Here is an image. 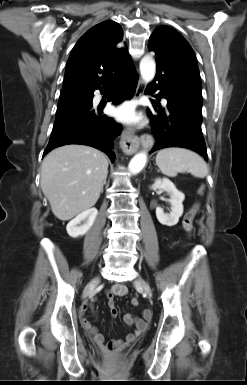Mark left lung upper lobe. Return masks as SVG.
Wrapping results in <instances>:
<instances>
[{"instance_id": "obj_1", "label": "left lung upper lobe", "mask_w": 247, "mask_h": 385, "mask_svg": "<svg viewBox=\"0 0 247 385\" xmlns=\"http://www.w3.org/2000/svg\"><path fill=\"white\" fill-rule=\"evenodd\" d=\"M148 45H152L159 54L168 59L197 88H202L195 54L177 31L166 26L159 27L150 36Z\"/></svg>"}]
</instances>
